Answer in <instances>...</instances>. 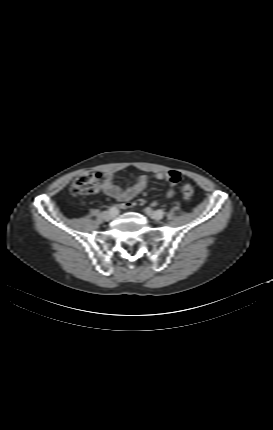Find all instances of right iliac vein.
Returning <instances> with one entry per match:
<instances>
[{
	"instance_id": "obj_1",
	"label": "right iliac vein",
	"mask_w": 273,
	"mask_h": 430,
	"mask_svg": "<svg viewBox=\"0 0 273 430\" xmlns=\"http://www.w3.org/2000/svg\"><path fill=\"white\" fill-rule=\"evenodd\" d=\"M117 214H118V211L109 210V211L104 212V217L106 219H112V218L116 217Z\"/></svg>"
}]
</instances>
